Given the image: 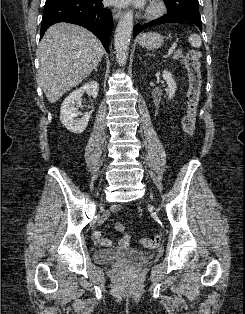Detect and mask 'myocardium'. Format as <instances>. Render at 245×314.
I'll use <instances>...</instances> for the list:
<instances>
[{
	"instance_id": "1",
	"label": "myocardium",
	"mask_w": 245,
	"mask_h": 314,
	"mask_svg": "<svg viewBox=\"0 0 245 314\" xmlns=\"http://www.w3.org/2000/svg\"><path fill=\"white\" fill-rule=\"evenodd\" d=\"M165 9V5L159 0H151L146 8L145 15L148 18H156L161 16L165 12Z\"/></svg>"
}]
</instances>
